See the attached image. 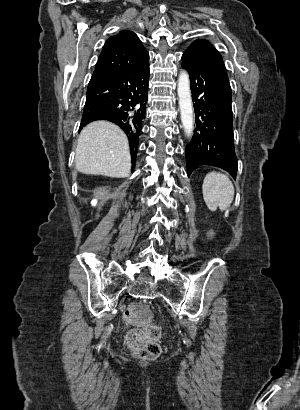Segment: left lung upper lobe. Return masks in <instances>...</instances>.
Returning a JSON list of instances; mask_svg holds the SVG:
<instances>
[{"label":"left lung upper lobe","instance_id":"obj_1","mask_svg":"<svg viewBox=\"0 0 300 410\" xmlns=\"http://www.w3.org/2000/svg\"><path fill=\"white\" fill-rule=\"evenodd\" d=\"M201 65L218 69L227 75L221 54L207 40L194 41L184 52Z\"/></svg>","mask_w":300,"mask_h":410}]
</instances>
